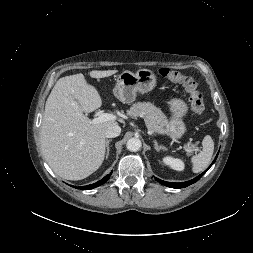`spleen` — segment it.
<instances>
[{
    "mask_svg": "<svg viewBox=\"0 0 253 253\" xmlns=\"http://www.w3.org/2000/svg\"><path fill=\"white\" fill-rule=\"evenodd\" d=\"M202 146V151L199 154L193 156L191 159L193 164L192 170L194 173L203 171L209 165L213 155L214 142L209 135L204 137Z\"/></svg>",
    "mask_w": 253,
    "mask_h": 253,
    "instance_id": "1",
    "label": "spleen"
}]
</instances>
